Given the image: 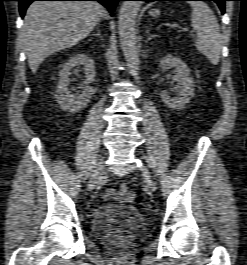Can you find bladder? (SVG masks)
I'll list each match as a JSON object with an SVG mask.
<instances>
[{"label":"bladder","instance_id":"obj_1","mask_svg":"<svg viewBox=\"0 0 247 265\" xmlns=\"http://www.w3.org/2000/svg\"><path fill=\"white\" fill-rule=\"evenodd\" d=\"M144 227V217L140 210L126 204H107L95 213L91 230L95 237L110 240L132 237Z\"/></svg>","mask_w":247,"mask_h":265}]
</instances>
